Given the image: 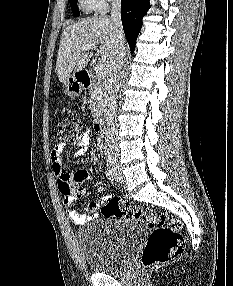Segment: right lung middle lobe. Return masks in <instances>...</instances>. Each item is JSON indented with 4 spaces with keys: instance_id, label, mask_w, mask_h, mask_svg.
<instances>
[{
    "instance_id": "right-lung-middle-lobe-1",
    "label": "right lung middle lobe",
    "mask_w": 233,
    "mask_h": 286,
    "mask_svg": "<svg viewBox=\"0 0 233 286\" xmlns=\"http://www.w3.org/2000/svg\"><path fill=\"white\" fill-rule=\"evenodd\" d=\"M69 1H70L72 13L78 17L80 13H79V9H78L76 0H69Z\"/></svg>"
}]
</instances>
